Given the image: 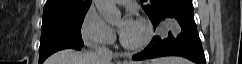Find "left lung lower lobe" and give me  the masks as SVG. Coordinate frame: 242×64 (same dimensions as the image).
Returning <instances> with one entry per match:
<instances>
[{"label": "left lung lower lobe", "mask_w": 242, "mask_h": 64, "mask_svg": "<svg viewBox=\"0 0 242 64\" xmlns=\"http://www.w3.org/2000/svg\"><path fill=\"white\" fill-rule=\"evenodd\" d=\"M167 19L176 20L182 29L181 33L172 35L169 32L166 39L159 36L153 37L147 48L134 55L132 59L144 60L175 55L185 57L197 64H205V55L194 21L192 1L166 11L153 23L154 29Z\"/></svg>", "instance_id": "1"}]
</instances>
